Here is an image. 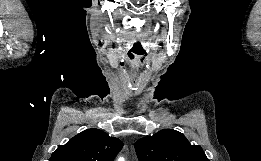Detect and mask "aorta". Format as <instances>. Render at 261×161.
<instances>
[{"label":"aorta","mask_w":261,"mask_h":161,"mask_svg":"<svg viewBox=\"0 0 261 161\" xmlns=\"http://www.w3.org/2000/svg\"><path fill=\"white\" fill-rule=\"evenodd\" d=\"M118 161H124V158H119Z\"/></svg>","instance_id":"1"}]
</instances>
